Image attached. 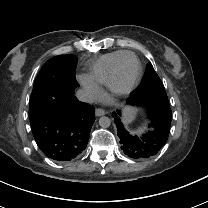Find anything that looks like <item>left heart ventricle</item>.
I'll return each instance as SVG.
<instances>
[{
	"mask_svg": "<svg viewBox=\"0 0 208 208\" xmlns=\"http://www.w3.org/2000/svg\"><path fill=\"white\" fill-rule=\"evenodd\" d=\"M138 70V65L136 62H131L122 72L121 79L123 83H129L135 77Z\"/></svg>",
	"mask_w": 208,
	"mask_h": 208,
	"instance_id": "left-heart-ventricle-1",
	"label": "left heart ventricle"
}]
</instances>
